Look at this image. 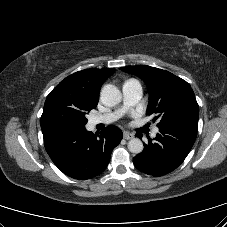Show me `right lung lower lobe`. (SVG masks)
Wrapping results in <instances>:
<instances>
[{"label": "right lung lower lobe", "instance_id": "1", "mask_svg": "<svg viewBox=\"0 0 227 227\" xmlns=\"http://www.w3.org/2000/svg\"><path fill=\"white\" fill-rule=\"evenodd\" d=\"M122 131L113 125L100 135L85 128L57 129L43 133L45 149L54 164L67 176L90 179L107 167L112 150L120 143Z\"/></svg>", "mask_w": 227, "mask_h": 227}]
</instances>
